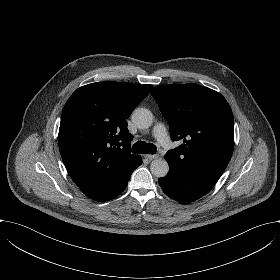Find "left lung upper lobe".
I'll return each instance as SVG.
<instances>
[{"label": "left lung upper lobe", "mask_w": 280, "mask_h": 280, "mask_svg": "<svg viewBox=\"0 0 280 280\" xmlns=\"http://www.w3.org/2000/svg\"><path fill=\"white\" fill-rule=\"evenodd\" d=\"M151 94L169 123L172 140L184 142L167 152V162L189 173L220 177L234 148L233 114L225 98L194 83L156 86Z\"/></svg>", "instance_id": "obj_1"}]
</instances>
